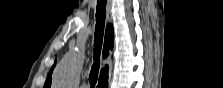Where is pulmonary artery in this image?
Masks as SVG:
<instances>
[{
  "mask_svg": "<svg viewBox=\"0 0 223 88\" xmlns=\"http://www.w3.org/2000/svg\"><path fill=\"white\" fill-rule=\"evenodd\" d=\"M81 88H88L86 85L81 86Z\"/></svg>",
  "mask_w": 223,
  "mask_h": 88,
  "instance_id": "obj_1",
  "label": "pulmonary artery"
}]
</instances>
